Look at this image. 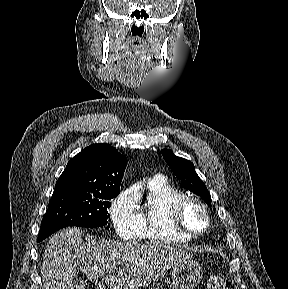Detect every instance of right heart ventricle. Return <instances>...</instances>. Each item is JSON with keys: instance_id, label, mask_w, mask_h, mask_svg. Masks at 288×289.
Masks as SVG:
<instances>
[{"instance_id": "obj_1", "label": "right heart ventricle", "mask_w": 288, "mask_h": 289, "mask_svg": "<svg viewBox=\"0 0 288 289\" xmlns=\"http://www.w3.org/2000/svg\"><path fill=\"white\" fill-rule=\"evenodd\" d=\"M185 196L184 192L163 179L149 182L139 207V238L155 244H182L190 239L172 228L168 217L170 204Z\"/></svg>"}]
</instances>
